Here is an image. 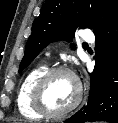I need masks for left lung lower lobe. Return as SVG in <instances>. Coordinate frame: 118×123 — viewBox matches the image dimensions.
<instances>
[{
    "label": "left lung lower lobe",
    "instance_id": "obj_1",
    "mask_svg": "<svg viewBox=\"0 0 118 123\" xmlns=\"http://www.w3.org/2000/svg\"><path fill=\"white\" fill-rule=\"evenodd\" d=\"M95 36L96 65L87 105L65 123H118V15Z\"/></svg>",
    "mask_w": 118,
    "mask_h": 123
}]
</instances>
